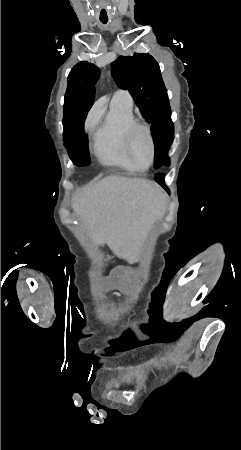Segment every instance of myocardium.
Masks as SVG:
<instances>
[{"label":"myocardium","instance_id":"obj_1","mask_svg":"<svg viewBox=\"0 0 241 450\" xmlns=\"http://www.w3.org/2000/svg\"><path fill=\"white\" fill-rule=\"evenodd\" d=\"M137 122L133 121L128 123L125 127H124V133L126 136L123 137V142L126 143V148L124 149L125 153H129V158L128 161L129 162H139L140 158L139 156L136 154V150L133 148V145L136 141H140L141 143L144 141V144L147 147V150L149 149V152L146 153L147 157H151L150 161L151 162H156L157 158H156V149L153 148L152 145V141L151 138L155 136L154 132H149V130H143V132H139V129H144L145 127H147V125L149 127L153 126L152 122H149L147 124V122H143L142 121V116H137ZM142 121V122H140ZM145 137V139L143 138Z\"/></svg>","mask_w":241,"mask_h":450}]
</instances>
